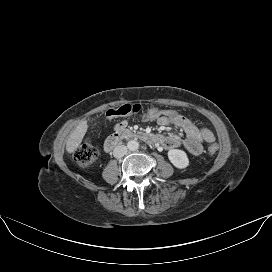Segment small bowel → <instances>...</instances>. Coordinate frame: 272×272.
I'll return each instance as SVG.
<instances>
[{"label": "small bowel", "instance_id": "c3829d8e", "mask_svg": "<svg viewBox=\"0 0 272 272\" xmlns=\"http://www.w3.org/2000/svg\"><path fill=\"white\" fill-rule=\"evenodd\" d=\"M160 126L173 125L185 132L182 138L177 134L160 136L159 140L166 149H175L183 146L190 154L200 155L203 151L204 143H211L215 140L214 134L207 128L195 125L189 118L178 116L174 118H160L157 120ZM125 127V122H120L117 128Z\"/></svg>", "mask_w": 272, "mask_h": 272}]
</instances>
